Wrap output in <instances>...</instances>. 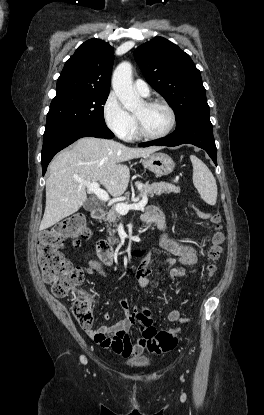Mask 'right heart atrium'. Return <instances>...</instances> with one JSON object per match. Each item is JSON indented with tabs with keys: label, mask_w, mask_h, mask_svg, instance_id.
Segmentation results:
<instances>
[{
	"label": "right heart atrium",
	"mask_w": 264,
	"mask_h": 415,
	"mask_svg": "<svg viewBox=\"0 0 264 415\" xmlns=\"http://www.w3.org/2000/svg\"><path fill=\"white\" fill-rule=\"evenodd\" d=\"M103 116L107 126L122 139H127L134 127L132 115L122 106L114 93H110L103 105Z\"/></svg>",
	"instance_id": "right-heart-atrium-1"
}]
</instances>
